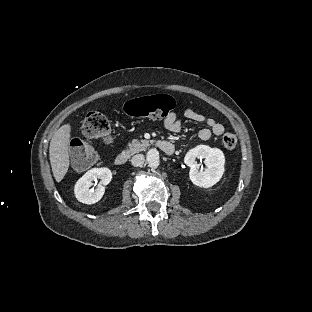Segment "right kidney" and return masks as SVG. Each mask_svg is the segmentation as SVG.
<instances>
[{
  "label": "right kidney",
  "mask_w": 312,
  "mask_h": 312,
  "mask_svg": "<svg viewBox=\"0 0 312 312\" xmlns=\"http://www.w3.org/2000/svg\"><path fill=\"white\" fill-rule=\"evenodd\" d=\"M99 179V186L93 190L90 188L94 185L92 181ZM112 179V173L108 168H93L87 171L74 185L75 198L87 205L98 203L105 192L101 185H107Z\"/></svg>",
  "instance_id": "ca27d5eb"
}]
</instances>
